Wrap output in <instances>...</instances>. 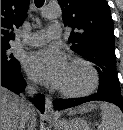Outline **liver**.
<instances>
[{
    "mask_svg": "<svg viewBox=\"0 0 123 130\" xmlns=\"http://www.w3.org/2000/svg\"><path fill=\"white\" fill-rule=\"evenodd\" d=\"M26 106L27 103L22 98L1 87V130H23V112ZM93 108V105H83L70 114L88 112ZM28 126L29 130H35L36 112L34 109L30 112Z\"/></svg>",
    "mask_w": 123,
    "mask_h": 130,
    "instance_id": "6515ba94",
    "label": "liver"
}]
</instances>
